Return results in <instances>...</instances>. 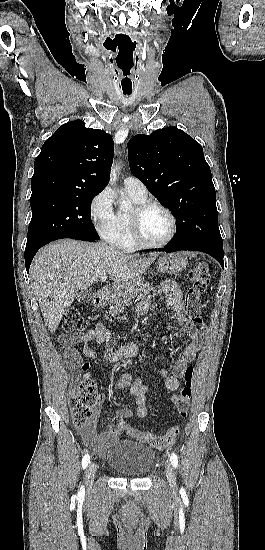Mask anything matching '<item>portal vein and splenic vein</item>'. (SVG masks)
<instances>
[{"instance_id": "1", "label": "portal vein and splenic vein", "mask_w": 265, "mask_h": 550, "mask_svg": "<svg viewBox=\"0 0 265 550\" xmlns=\"http://www.w3.org/2000/svg\"><path fill=\"white\" fill-rule=\"evenodd\" d=\"M106 279H107L106 275H103V276L100 277V281H101V282L106 281Z\"/></svg>"}]
</instances>
